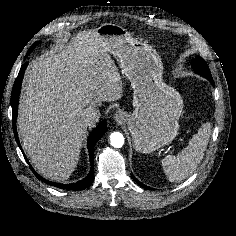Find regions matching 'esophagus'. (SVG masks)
I'll use <instances>...</instances> for the list:
<instances>
[{"label":"esophagus","mask_w":236,"mask_h":236,"mask_svg":"<svg viewBox=\"0 0 236 236\" xmlns=\"http://www.w3.org/2000/svg\"><path fill=\"white\" fill-rule=\"evenodd\" d=\"M114 120L118 122L119 124H122L124 122V115L122 112L118 111L114 114Z\"/></svg>","instance_id":"esophagus-1"}]
</instances>
